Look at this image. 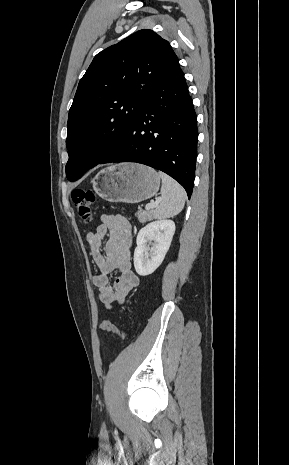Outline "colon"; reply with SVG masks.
<instances>
[{
  "label": "colon",
  "mask_w": 289,
  "mask_h": 465,
  "mask_svg": "<svg viewBox=\"0 0 289 465\" xmlns=\"http://www.w3.org/2000/svg\"><path fill=\"white\" fill-rule=\"evenodd\" d=\"M73 205L84 222H90L93 217V204L96 200V193L92 189H75L71 194ZM100 332H110L120 338H125L127 331L117 328L110 321H103L100 324Z\"/></svg>",
  "instance_id": "5ec220e1"
}]
</instances>
